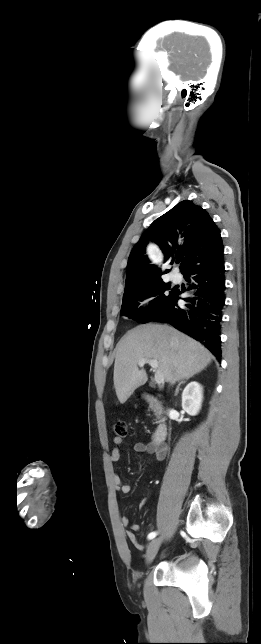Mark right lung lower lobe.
Segmentation results:
<instances>
[{
    "mask_svg": "<svg viewBox=\"0 0 261 644\" xmlns=\"http://www.w3.org/2000/svg\"><path fill=\"white\" fill-rule=\"evenodd\" d=\"M182 273L187 281H190L188 276L195 275L193 279L197 284H193V288L197 291L196 296L191 299L192 305H186L188 309L180 307L178 300L182 299V291L177 290L165 310L152 321L170 323L176 329L200 341L220 361V329L225 304L223 256L211 263L188 267Z\"/></svg>",
    "mask_w": 261,
    "mask_h": 644,
    "instance_id": "right-lung-lower-lobe-1",
    "label": "right lung lower lobe"
}]
</instances>
